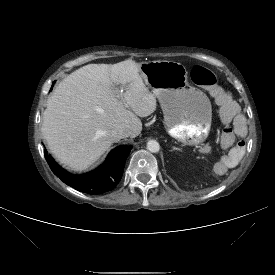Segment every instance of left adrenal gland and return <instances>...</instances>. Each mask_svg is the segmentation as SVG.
<instances>
[{"mask_svg": "<svg viewBox=\"0 0 275 275\" xmlns=\"http://www.w3.org/2000/svg\"><path fill=\"white\" fill-rule=\"evenodd\" d=\"M173 150H180L179 148L173 147Z\"/></svg>", "mask_w": 275, "mask_h": 275, "instance_id": "a2214340", "label": "left adrenal gland"}]
</instances>
